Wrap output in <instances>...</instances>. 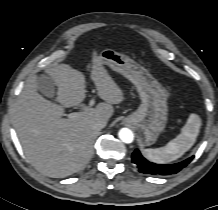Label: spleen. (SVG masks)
<instances>
[{
	"label": "spleen",
	"mask_w": 218,
	"mask_h": 210,
	"mask_svg": "<svg viewBox=\"0 0 218 210\" xmlns=\"http://www.w3.org/2000/svg\"><path fill=\"white\" fill-rule=\"evenodd\" d=\"M200 126L199 116L194 113L191 114L176 138L168 142L164 147L145 149V156L159 164H168L177 160L193 146L199 134Z\"/></svg>",
	"instance_id": "obj_1"
}]
</instances>
